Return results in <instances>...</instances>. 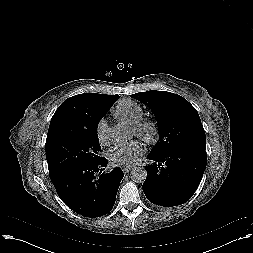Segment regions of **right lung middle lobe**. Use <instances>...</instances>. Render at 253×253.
<instances>
[{
  "instance_id": "1",
  "label": "right lung middle lobe",
  "mask_w": 253,
  "mask_h": 253,
  "mask_svg": "<svg viewBox=\"0 0 253 253\" xmlns=\"http://www.w3.org/2000/svg\"><path fill=\"white\" fill-rule=\"evenodd\" d=\"M99 112L92 121L82 126H61L46 140V159L49 174L87 163L99 162L100 144L97 125L105 114Z\"/></svg>"
}]
</instances>
